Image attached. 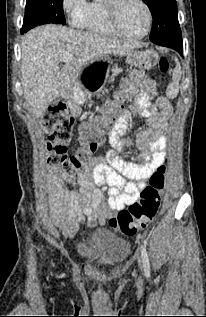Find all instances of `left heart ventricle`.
I'll return each instance as SVG.
<instances>
[{"label": "left heart ventricle", "mask_w": 206, "mask_h": 317, "mask_svg": "<svg viewBox=\"0 0 206 317\" xmlns=\"http://www.w3.org/2000/svg\"><path fill=\"white\" fill-rule=\"evenodd\" d=\"M118 22L125 33L138 35L145 30L146 12L137 0H126L120 7Z\"/></svg>", "instance_id": "b2bd125f"}]
</instances>
